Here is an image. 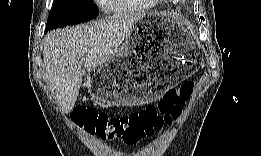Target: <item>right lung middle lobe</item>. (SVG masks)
I'll return each mask as SVG.
<instances>
[{"instance_id":"right-lung-middle-lobe-1","label":"right lung middle lobe","mask_w":261,"mask_h":156,"mask_svg":"<svg viewBox=\"0 0 261 156\" xmlns=\"http://www.w3.org/2000/svg\"><path fill=\"white\" fill-rule=\"evenodd\" d=\"M98 14L99 10L90 0H55L45 30L90 20Z\"/></svg>"}]
</instances>
